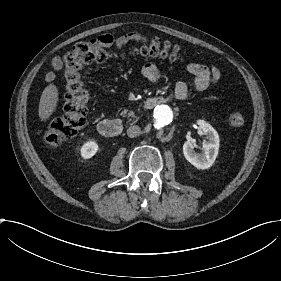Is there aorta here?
Returning <instances> with one entry per match:
<instances>
[{"instance_id":"aorta-1","label":"aorta","mask_w":281,"mask_h":281,"mask_svg":"<svg viewBox=\"0 0 281 281\" xmlns=\"http://www.w3.org/2000/svg\"><path fill=\"white\" fill-rule=\"evenodd\" d=\"M173 111L168 105H158L154 109V125L156 128H162L169 125L173 120Z\"/></svg>"}]
</instances>
